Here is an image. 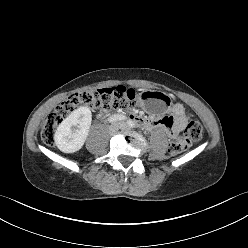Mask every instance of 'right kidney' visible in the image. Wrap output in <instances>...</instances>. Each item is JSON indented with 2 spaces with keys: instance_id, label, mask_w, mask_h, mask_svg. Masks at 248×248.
I'll return each mask as SVG.
<instances>
[{
  "instance_id": "1",
  "label": "right kidney",
  "mask_w": 248,
  "mask_h": 248,
  "mask_svg": "<svg viewBox=\"0 0 248 248\" xmlns=\"http://www.w3.org/2000/svg\"><path fill=\"white\" fill-rule=\"evenodd\" d=\"M92 114L88 107L74 110L58 126L54 140L56 146L64 153L79 151L88 136Z\"/></svg>"
}]
</instances>
